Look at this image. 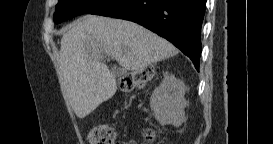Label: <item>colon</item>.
I'll return each mask as SVG.
<instances>
[{"label": "colon", "mask_w": 273, "mask_h": 144, "mask_svg": "<svg viewBox=\"0 0 273 144\" xmlns=\"http://www.w3.org/2000/svg\"><path fill=\"white\" fill-rule=\"evenodd\" d=\"M154 76V69L146 67L133 73L123 76L120 79V87L123 91L130 92L136 88L144 86ZM146 138L153 140L155 135L153 131H146ZM90 144H113L115 141V131L109 125L93 126L88 133Z\"/></svg>", "instance_id": "colon-1"}]
</instances>
